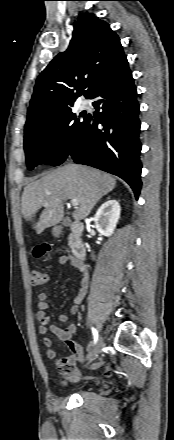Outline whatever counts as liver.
Instances as JSON below:
<instances>
[{
  "label": "liver",
  "mask_w": 174,
  "mask_h": 440,
  "mask_svg": "<svg viewBox=\"0 0 174 440\" xmlns=\"http://www.w3.org/2000/svg\"><path fill=\"white\" fill-rule=\"evenodd\" d=\"M116 186V179L97 169L68 164L39 180L29 183L23 191L21 212L27 221H33L37 211L44 207L39 221L33 225L37 233L59 223L64 216L63 203L76 199L79 205L72 213L75 221L86 218L96 203Z\"/></svg>",
  "instance_id": "6515ba94"
}]
</instances>
